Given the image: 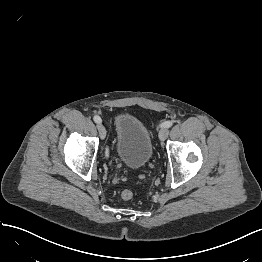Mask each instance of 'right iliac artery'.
<instances>
[{"label": "right iliac artery", "instance_id": "obj_1", "mask_svg": "<svg viewBox=\"0 0 262 262\" xmlns=\"http://www.w3.org/2000/svg\"><path fill=\"white\" fill-rule=\"evenodd\" d=\"M93 119H94V121H95L96 123H101V122H102L101 118H100L99 116H97V115L94 116Z\"/></svg>", "mask_w": 262, "mask_h": 262}]
</instances>
